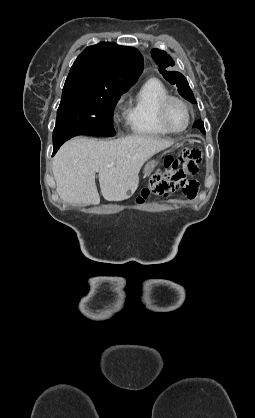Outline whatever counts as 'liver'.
<instances>
[{
    "instance_id": "1",
    "label": "liver",
    "mask_w": 255,
    "mask_h": 418,
    "mask_svg": "<svg viewBox=\"0 0 255 418\" xmlns=\"http://www.w3.org/2000/svg\"><path fill=\"white\" fill-rule=\"evenodd\" d=\"M173 143L138 135L111 141L71 139L52 162L57 193L68 203L98 205L100 196L95 183L98 172L103 197L107 201L126 200L138 188V174L144 163Z\"/></svg>"
}]
</instances>
